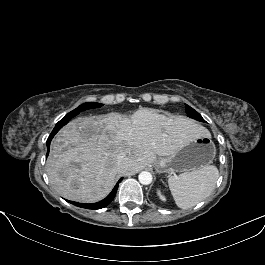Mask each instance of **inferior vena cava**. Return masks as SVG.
Masks as SVG:
<instances>
[{
  "label": "inferior vena cava",
  "mask_w": 265,
  "mask_h": 265,
  "mask_svg": "<svg viewBox=\"0 0 265 265\" xmlns=\"http://www.w3.org/2000/svg\"><path fill=\"white\" fill-rule=\"evenodd\" d=\"M123 159H124V156L122 155L118 156V167H123Z\"/></svg>",
  "instance_id": "obj_1"
}]
</instances>
